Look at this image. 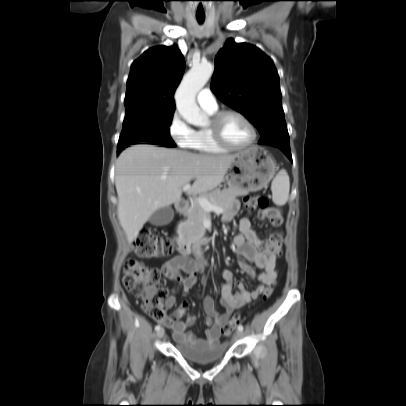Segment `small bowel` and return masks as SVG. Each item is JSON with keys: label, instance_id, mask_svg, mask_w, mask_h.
<instances>
[{"label": "small bowel", "instance_id": "small-bowel-1", "mask_svg": "<svg viewBox=\"0 0 406 406\" xmlns=\"http://www.w3.org/2000/svg\"><path fill=\"white\" fill-rule=\"evenodd\" d=\"M237 209V202H232L229 209L223 215V222L228 223L232 221L237 213ZM238 230L239 233L233 238L236 253L243 256L251 264L242 262L240 263V268L249 276L257 278V286L249 291L245 288L242 280H237L236 290H234L232 288L234 282L233 273L227 269L223 270L222 276L225 283L221 289V304L225 308V312H218L214 300L211 297H207L204 300L203 307L206 313L208 329L205 331L203 338H197L187 332V327L194 323L195 317L188 314L186 320L181 319L188 307V303L183 302L172 314L166 315L162 321L173 330L176 342L196 347L218 344L221 327L229 320L233 312L256 300L266 286L275 284L278 277L275 254H266L261 249L260 239L253 228L249 216H244L239 220ZM194 255L195 259H190L186 256H176L162 266V275L167 279L175 281L178 285L173 292L177 289H181L184 292L190 291L195 285L198 275L204 271L206 262L202 251L195 249ZM254 267L260 270L258 274H256ZM181 272H184V274ZM174 304L175 297L171 295L166 299L165 306L170 308Z\"/></svg>", "mask_w": 406, "mask_h": 406}]
</instances>
